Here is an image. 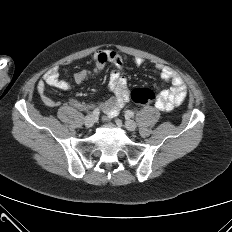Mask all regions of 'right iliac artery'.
Returning a JSON list of instances; mask_svg holds the SVG:
<instances>
[{"label": "right iliac artery", "instance_id": "82829eb1", "mask_svg": "<svg viewBox=\"0 0 232 232\" xmlns=\"http://www.w3.org/2000/svg\"><path fill=\"white\" fill-rule=\"evenodd\" d=\"M99 114H100L99 109H95V110L92 112V116L95 117V118L98 117Z\"/></svg>", "mask_w": 232, "mask_h": 232}]
</instances>
